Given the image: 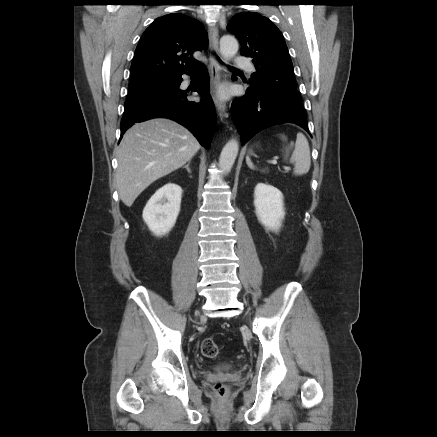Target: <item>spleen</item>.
Here are the masks:
<instances>
[{
    "mask_svg": "<svg viewBox=\"0 0 437 437\" xmlns=\"http://www.w3.org/2000/svg\"><path fill=\"white\" fill-rule=\"evenodd\" d=\"M282 138L286 140V137L282 135ZM294 146L290 163L294 164V174L303 175L306 174L311 166L310 147L307 138L304 134L298 133L295 145L291 142L290 147ZM288 153V150H286ZM246 163L249 168L254 169V165L251 159L247 156Z\"/></svg>",
    "mask_w": 437,
    "mask_h": 437,
    "instance_id": "spleen-1",
    "label": "spleen"
}]
</instances>
